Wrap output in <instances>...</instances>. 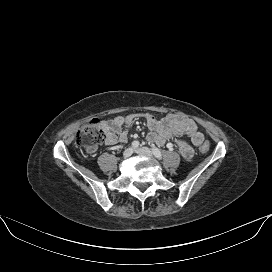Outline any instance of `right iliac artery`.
Returning <instances> with one entry per match:
<instances>
[{"instance_id":"82829eb1","label":"right iliac artery","mask_w":272,"mask_h":272,"mask_svg":"<svg viewBox=\"0 0 272 272\" xmlns=\"http://www.w3.org/2000/svg\"><path fill=\"white\" fill-rule=\"evenodd\" d=\"M139 145H140V144H139L138 141H133V142H132V147H133V148H138Z\"/></svg>"}]
</instances>
